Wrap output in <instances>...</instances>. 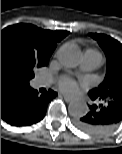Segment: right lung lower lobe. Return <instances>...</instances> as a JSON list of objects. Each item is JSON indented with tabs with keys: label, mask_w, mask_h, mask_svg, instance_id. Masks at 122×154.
Returning <instances> with one entry per match:
<instances>
[{
	"label": "right lung lower lobe",
	"mask_w": 122,
	"mask_h": 154,
	"mask_svg": "<svg viewBox=\"0 0 122 154\" xmlns=\"http://www.w3.org/2000/svg\"><path fill=\"white\" fill-rule=\"evenodd\" d=\"M57 96L53 90L39 95L30 85L1 92V118L12 126H30L42 120L48 103Z\"/></svg>",
	"instance_id": "right-lung-lower-lobe-1"
}]
</instances>
